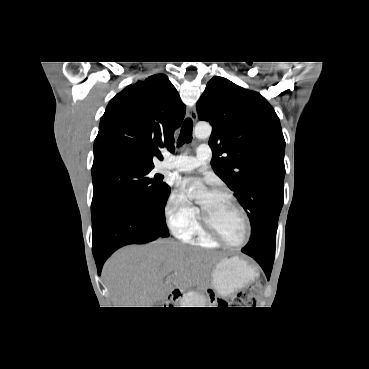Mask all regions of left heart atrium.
Masks as SVG:
<instances>
[{
    "instance_id": "1",
    "label": "left heart atrium",
    "mask_w": 369,
    "mask_h": 369,
    "mask_svg": "<svg viewBox=\"0 0 369 369\" xmlns=\"http://www.w3.org/2000/svg\"><path fill=\"white\" fill-rule=\"evenodd\" d=\"M198 182L197 179H194V178H186V179H183L179 182L180 186L187 190L189 189L192 185L196 184Z\"/></svg>"
}]
</instances>
